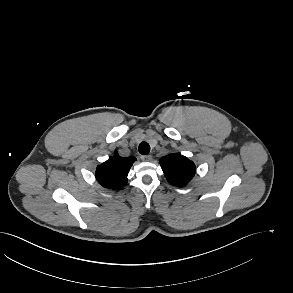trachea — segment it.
<instances>
[{"label": "trachea", "instance_id": "1", "mask_svg": "<svg viewBox=\"0 0 293 293\" xmlns=\"http://www.w3.org/2000/svg\"><path fill=\"white\" fill-rule=\"evenodd\" d=\"M139 153L142 155H147L150 152V146L147 142H142L139 145Z\"/></svg>", "mask_w": 293, "mask_h": 293}]
</instances>
